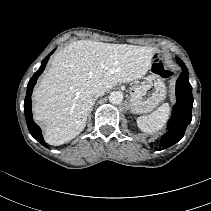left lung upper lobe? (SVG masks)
I'll return each mask as SVG.
<instances>
[{"label": "left lung upper lobe", "mask_w": 211, "mask_h": 211, "mask_svg": "<svg viewBox=\"0 0 211 211\" xmlns=\"http://www.w3.org/2000/svg\"><path fill=\"white\" fill-rule=\"evenodd\" d=\"M176 60H177V62H178V61H180L181 59H179V58H176Z\"/></svg>", "instance_id": "obj_1"}]
</instances>
